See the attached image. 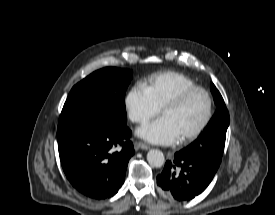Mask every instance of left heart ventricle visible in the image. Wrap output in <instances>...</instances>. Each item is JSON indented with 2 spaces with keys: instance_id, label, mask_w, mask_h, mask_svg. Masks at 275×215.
I'll return each mask as SVG.
<instances>
[{
  "instance_id": "b2bd125f",
  "label": "left heart ventricle",
  "mask_w": 275,
  "mask_h": 215,
  "mask_svg": "<svg viewBox=\"0 0 275 215\" xmlns=\"http://www.w3.org/2000/svg\"><path fill=\"white\" fill-rule=\"evenodd\" d=\"M207 109L208 101L206 96L201 92H196L189 96L180 106L164 110L162 116L173 123L179 138H182L203 121Z\"/></svg>"
}]
</instances>
